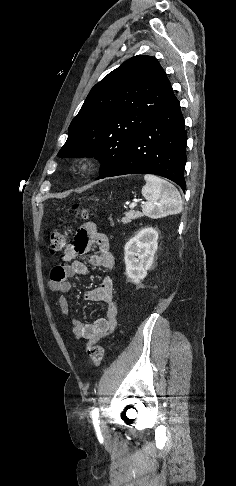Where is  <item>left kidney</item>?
Here are the masks:
<instances>
[{
    "mask_svg": "<svg viewBox=\"0 0 236 486\" xmlns=\"http://www.w3.org/2000/svg\"><path fill=\"white\" fill-rule=\"evenodd\" d=\"M158 248V232L153 228L141 229L125 245L126 275L135 284L147 275Z\"/></svg>",
    "mask_w": 236,
    "mask_h": 486,
    "instance_id": "1",
    "label": "left kidney"
}]
</instances>
